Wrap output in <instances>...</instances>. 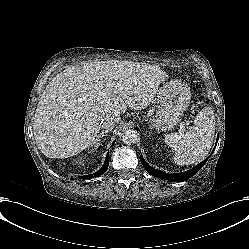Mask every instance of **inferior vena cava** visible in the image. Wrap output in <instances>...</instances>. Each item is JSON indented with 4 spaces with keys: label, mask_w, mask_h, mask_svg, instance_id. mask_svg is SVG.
<instances>
[{
    "label": "inferior vena cava",
    "mask_w": 249,
    "mask_h": 249,
    "mask_svg": "<svg viewBox=\"0 0 249 249\" xmlns=\"http://www.w3.org/2000/svg\"><path fill=\"white\" fill-rule=\"evenodd\" d=\"M116 123H118V120L114 119V118L104 120L101 124L102 133H104V132L107 133V132L111 131L114 128V126L116 125Z\"/></svg>",
    "instance_id": "obj_1"
}]
</instances>
